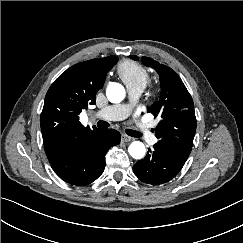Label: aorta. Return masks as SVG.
Wrapping results in <instances>:
<instances>
[{"instance_id": "762f6f07", "label": "aorta", "mask_w": 243, "mask_h": 243, "mask_svg": "<svg viewBox=\"0 0 243 243\" xmlns=\"http://www.w3.org/2000/svg\"><path fill=\"white\" fill-rule=\"evenodd\" d=\"M106 96L112 103H119L125 97V89L119 83H110L106 89ZM128 152L134 159H142L145 156V145L140 141H133L129 147Z\"/></svg>"}]
</instances>
